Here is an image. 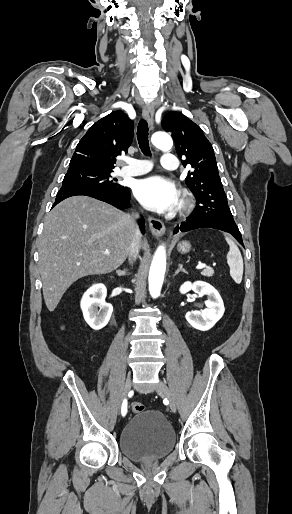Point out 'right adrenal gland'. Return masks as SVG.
I'll return each instance as SVG.
<instances>
[{
    "instance_id": "right-adrenal-gland-1",
    "label": "right adrenal gland",
    "mask_w": 292,
    "mask_h": 514,
    "mask_svg": "<svg viewBox=\"0 0 292 514\" xmlns=\"http://www.w3.org/2000/svg\"><path fill=\"white\" fill-rule=\"evenodd\" d=\"M130 272L127 274V270H124V272H121V270H117V276H129Z\"/></svg>"
}]
</instances>
